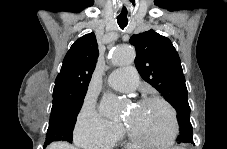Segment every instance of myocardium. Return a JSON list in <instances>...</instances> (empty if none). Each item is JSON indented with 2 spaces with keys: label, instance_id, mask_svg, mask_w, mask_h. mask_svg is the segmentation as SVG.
<instances>
[{
  "label": "myocardium",
  "instance_id": "obj_1",
  "mask_svg": "<svg viewBox=\"0 0 227 149\" xmlns=\"http://www.w3.org/2000/svg\"><path fill=\"white\" fill-rule=\"evenodd\" d=\"M160 103L164 105L170 112L171 118H172V123H173V128L170 136L164 140V141H154V140H148L146 138L141 137L138 135L131 125L128 122H125V129L127 131V134L129 135L130 139L137 145L141 146H150V147H166L170 146L174 143L178 133H179V121H178V116L175 108L164 98L159 97V96H148L140 99L137 102V106L146 104V103Z\"/></svg>",
  "mask_w": 227,
  "mask_h": 149
}]
</instances>
